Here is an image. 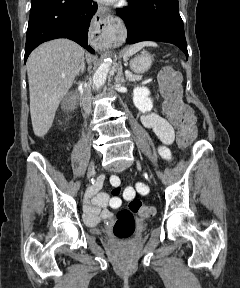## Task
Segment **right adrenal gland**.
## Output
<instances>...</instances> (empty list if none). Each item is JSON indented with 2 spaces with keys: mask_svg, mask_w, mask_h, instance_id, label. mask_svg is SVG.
Here are the masks:
<instances>
[{
  "mask_svg": "<svg viewBox=\"0 0 240 288\" xmlns=\"http://www.w3.org/2000/svg\"><path fill=\"white\" fill-rule=\"evenodd\" d=\"M84 71H85V62L82 63L81 68H80V70H79L78 73H77V76H78L80 73H84Z\"/></svg>",
  "mask_w": 240,
  "mask_h": 288,
  "instance_id": "1",
  "label": "right adrenal gland"
}]
</instances>
